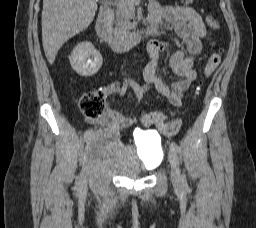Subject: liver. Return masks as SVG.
Masks as SVG:
<instances>
[{
  "label": "liver",
  "mask_w": 256,
  "mask_h": 228,
  "mask_svg": "<svg viewBox=\"0 0 256 228\" xmlns=\"http://www.w3.org/2000/svg\"><path fill=\"white\" fill-rule=\"evenodd\" d=\"M96 11L95 0H43L42 42L50 64L67 40L89 27Z\"/></svg>",
  "instance_id": "6515ba94"
}]
</instances>
